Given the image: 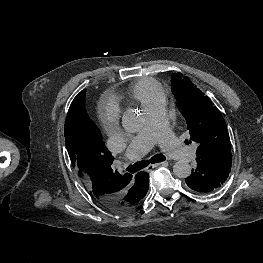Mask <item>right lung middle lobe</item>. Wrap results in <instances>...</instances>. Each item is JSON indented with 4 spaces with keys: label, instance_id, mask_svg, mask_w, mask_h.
<instances>
[{
    "label": "right lung middle lobe",
    "instance_id": "right-lung-middle-lobe-1",
    "mask_svg": "<svg viewBox=\"0 0 263 263\" xmlns=\"http://www.w3.org/2000/svg\"><path fill=\"white\" fill-rule=\"evenodd\" d=\"M84 106H85V90L82 91L81 99L78 104V116H76L77 122L82 124L89 122L88 119L89 117L85 111Z\"/></svg>",
    "mask_w": 263,
    "mask_h": 263
}]
</instances>
